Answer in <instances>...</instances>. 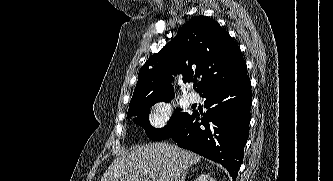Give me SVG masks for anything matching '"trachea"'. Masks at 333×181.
I'll use <instances>...</instances> for the list:
<instances>
[{
	"label": "trachea",
	"instance_id": "trachea-1",
	"mask_svg": "<svg viewBox=\"0 0 333 181\" xmlns=\"http://www.w3.org/2000/svg\"><path fill=\"white\" fill-rule=\"evenodd\" d=\"M197 87V85H194V88H196Z\"/></svg>",
	"mask_w": 333,
	"mask_h": 181
}]
</instances>
